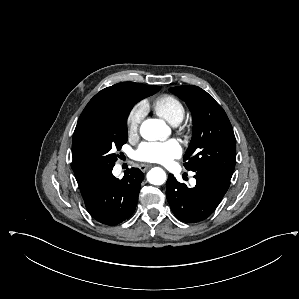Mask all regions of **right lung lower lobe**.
I'll list each match as a JSON object with an SVG mask.
<instances>
[{
	"mask_svg": "<svg viewBox=\"0 0 299 299\" xmlns=\"http://www.w3.org/2000/svg\"><path fill=\"white\" fill-rule=\"evenodd\" d=\"M112 169L79 185L88 212L106 225L118 224L133 214L144 178L140 169L131 168L122 179H117Z\"/></svg>",
	"mask_w": 299,
	"mask_h": 299,
	"instance_id": "obj_1",
	"label": "right lung lower lobe"
}]
</instances>
